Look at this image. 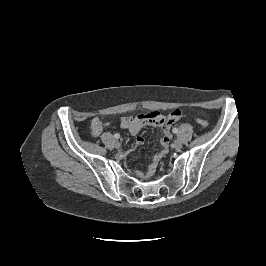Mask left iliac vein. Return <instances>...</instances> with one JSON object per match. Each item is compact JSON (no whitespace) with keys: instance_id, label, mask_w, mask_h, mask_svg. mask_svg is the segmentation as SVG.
I'll return each mask as SVG.
<instances>
[{"instance_id":"obj_1","label":"left iliac vein","mask_w":266,"mask_h":266,"mask_svg":"<svg viewBox=\"0 0 266 266\" xmlns=\"http://www.w3.org/2000/svg\"><path fill=\"white\" fill-rule=\"evenodd\" d=\"M173 147L176 149V150H179L181 149L182 147V141L180 139H177L174 141V144H173Z\"/></svg>"}]
</instances>
